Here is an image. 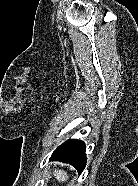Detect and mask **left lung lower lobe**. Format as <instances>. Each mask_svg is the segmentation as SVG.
Instances as JSON below:
<instances>
[{"label":"left lung lower lobe","instance_id":"obj_1","mask_svg":"<svg viewBox=\"0 0 138 186\" xmlns=\"http://www.w3.org/2000/svg\"><path fill=\"white\" fill-rule=\"evenodd\" d=\"M51 160L69 163L81 173L86 166L87 160L85 144L77 139H69L53 152Z\"/></svg>","mask_w":138,"mask_h":186}]
</instances>
